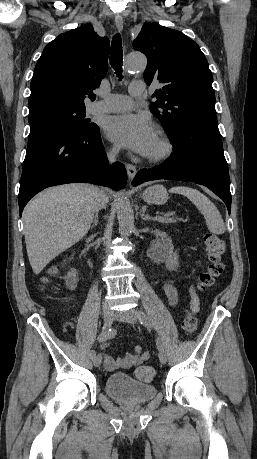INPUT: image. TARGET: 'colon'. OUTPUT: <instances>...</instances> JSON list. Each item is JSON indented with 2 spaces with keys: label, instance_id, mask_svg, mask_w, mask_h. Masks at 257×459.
<instances>
[{
  "label": "colon",
  "instance_id": "obj_1",
  "mask_svg": "<svg viewBox=\"0 0 257 459\" xmlns=\"http://www.w3.org/2000/svg\"><path fill=\"white\" fill-rule=\"evenodd\" d=\"M206 254L208 257V265L203 269L197 280L196 288L199 291H204L211 287L217 278H219L224 270L222 256L225 250L224 241L217 235L208 233L204 237ZM198 328V320L193 312H188L182 321V329L187 335L196 332ZM156 375L153 367L142 366L136 370V376L142 381H151Z\"/></svg>",
  "mask_w": 257,
  "mask_h": 459
}]
</instances>
